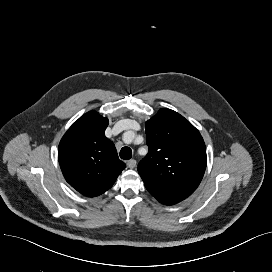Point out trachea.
Segmentation results:
<instances>
[{"instance_id":"trachea-1","label":"trachea","mask_w":272,"mask_h":272,"mask_svg":"<svg viewBox=\"0 0 272 272\" xmlns=\"http://www.w3.org/2000/svg\"><path fill=\"white\" fill-rule=\"evenodd\" d=\"M120 157L123 160H129L132 157V150L129 147H123L120 151Z\"/></svg>"}]
</instances>
